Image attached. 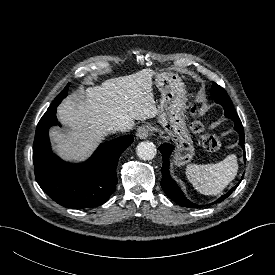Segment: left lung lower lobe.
Wrapping results in <instances>:
<instances>
[{
    "label": "left lung lower lobe",
    "instance_id": "1",
    "mask_svg": "<svg viewBox=\"0 0 275 275\" xmlns=\"http://www.w3.org/2000/svg\"><path fill=\"white\" fill-rule=\"evenodd\" d=\"M221 105L223 106V108L225 110L226 117H228L234 121V124H235L234 129L238 132V134L240 136L239 145L244 150V161H246L245 147H244V141H245L244 129H243L242 123L240 121V118L238 117L237 113L235 112L233 104L231 105V104H228L227 102H222ZM173 149H174V146H172L171 144H167V143L162 144L160 146V152L162 153V158H163V165L161 168L162 189L164 190V192L166 193L168 198L172 199L174 202H176L180 206L191 207V208L202 207V205H197L195 203H192L188 199H186L184 197L183 193L181 192L180 188L176 184V182L170 177L169 171H168L169 170V157H170V154ZM242 179H243V176H242L240 182L242 181ZM240 182L236 186L231 188L226 194L222 195L219 199H217L215 202H213L212 204L222 202L224 199H226L237 188V186L240 184Z\"/></svg>",
    "mask_w": 275,
    "mask_h": 275
}]
</instances>
